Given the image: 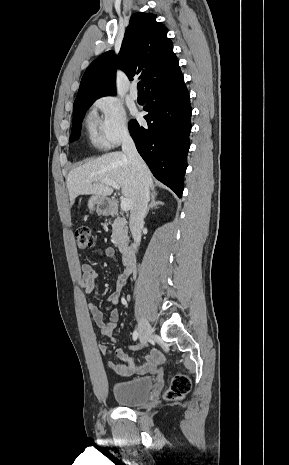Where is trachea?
Here are the masks:
<instances>
[{
    "instance_id": "trachea-1",
    "label": "trachea",
    "mask_w": 289,
    "mask_h": 465,
    "mask_svg": "<svg viewBox=\"0 0 289 465\" xmlns=\"http://www.w3.org/2000/svg\"><path fill=\"white\" fill-rule=\"evenodd\" d=\"M137 88H138L139 92H144L143 82L142 81L138 82Z\"/></svg>"
}]
</instances>
